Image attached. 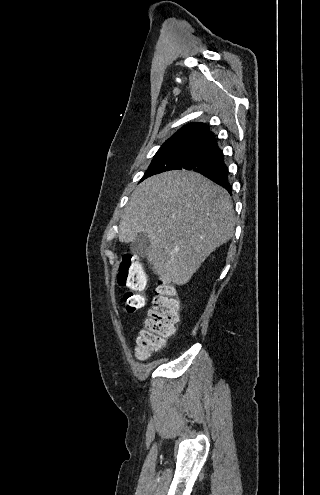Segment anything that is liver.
<instances>
[{"instance_id": "1", "label": "liver", "mask_w": 320, "mask_h": 495, "mask_svg": "<svg viewBox=\"0 0 320 495\" xmlns=\"http://www.w3.org/2000/svg\"><path fill=\"white\" fill-rule=\"evenodd\" d=\"M234 219L224 188L199 173L172 170L135 188L120 221L119 240L129 243L145 233L154 273L181 286L234 235Z\"/></svg>"}]
</instances>
